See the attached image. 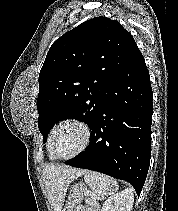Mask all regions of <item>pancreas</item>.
<instances>
[{
	"mask_svg": "<svg viewBox=\"0 0 178 211\" xmlns=\"http://www.w3.org/2000/svg\"><path fill=\"white\" fill-rule=\"evenodd\" d=\"M88 204L94 208L92 211H97V208H99V205L95 199H90Z\"/></svg>",
	"mask_w": 178,
	"mask_h": 211,
	"instance_id": "1",
	"label": "pancreas"
}]
</instances>
